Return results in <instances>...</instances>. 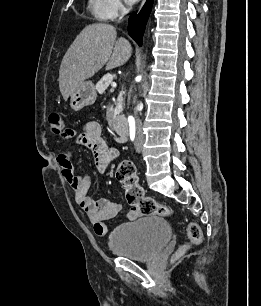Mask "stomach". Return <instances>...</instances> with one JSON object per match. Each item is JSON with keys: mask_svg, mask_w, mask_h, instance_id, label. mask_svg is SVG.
I'll return each mask as SVG.
<instances>
[{"mask_svg": "<svg viewBox=\"0 0 261 306\" xmlns=\"http://www.w3.org/2000/svg\"><path fill=\"white\" fill-rule=\"evenodd\" d=\"M96 97L95 85L91 81H85L70 95V107L74 111H79L88 105H92Z\"/></svg>", "mask_w": 261, "mask_h": 306, "instance_id": "1", "label": "stomach"}]
</instances>
